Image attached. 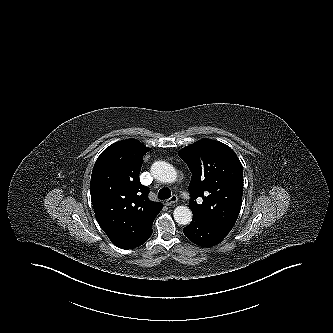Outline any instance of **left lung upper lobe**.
Wrapping results in <instances>:
<instances>
[{"label": "left lung upper lobe", "instance_id": "obj_1", "mask_svg": "<svg viewBox=\"0 0 333 333\" xmlns=\"http://www.w3.org/2000/svg\"><path fill=\"white\" fill-rule=\"evenodd\" d=\"M188 165L192 177L189 184V207L211 223L231 230L242 205L243 167L235 152L212 139H202L178 152ZM203 202L198 204L197 198Z\"/></svg>", "mask_w": 333, "mask_h": 333}]
</instances>
